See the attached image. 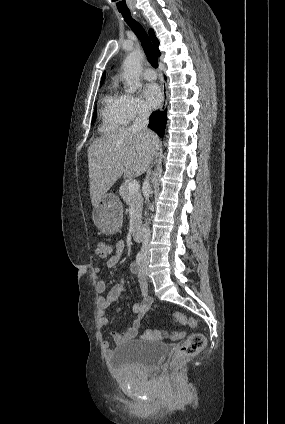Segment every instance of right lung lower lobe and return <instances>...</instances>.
Wrapping results in <instances>:
<instances>
[{
    "label": "right lung lower lobe",
    "mask_w": 285,
    "mask_h": 424,
    "mask_svg": "<svg viewBox=\"0 0 285 424\" xmlns=\"http://www.w3.org/2000/svg\"><path fill=\"white\" fill-rule=\"evenodd\" d=\"M149 119V128L154 130L160 137H163L167 121V110L155 112Z\"/></svg>",
    "instance_id": "obj_1"
}]
</instances>
